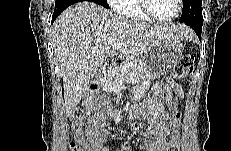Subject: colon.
<instances>
[{"mask_svg":"<svg viewBox=\"0 0 231 151\" xmlns=\"http://www.w3.org/2000/svg\"><path fill=\"white\" fill-rule=\"evenodd\" d=\"M194 67V57L183 55L175 63L173 68L174 77L177 79L189 75ZM168 122L170 129V140L165 151H180L181 114L177 109L176 102L170 103L168 107ZM70 122L75 139L80 142L84 139V113L82 110H75L70 116ZM77 145L71 146V151H78Z\"/></svg>","mask_w":231,"mask_h":151,"instance_id":"1","label":"colon"}]
</instances>
